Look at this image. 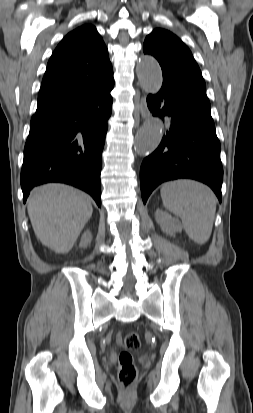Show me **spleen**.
Segmentation results:
<instances>
[{
	"label": "spleen",
	"instance_id": "spleen-1",
	"mask_svg": "<svg viewBox=\"0 0 253 413\" xmlns=\"http://www.w3.org/2000/svg\"><path fill=\"white\" fill-rule=\"evenodd\" d=\"M160 194L163 205L182 220L190 239L206 243L216 213L217 199L212 190L193 180H177L164 184Z\"/></svg>",
	"mask_w": 253,
	"mask_h": 413
}]
</instances>
